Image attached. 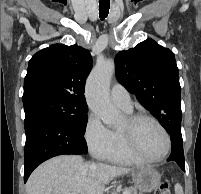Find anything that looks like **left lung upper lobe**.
I'll return each instance as SVG.
<instances>
[{
  "instance_id": "obj_1",
  "label": "left lung upper lobe",
  "mask_w": 201,
  "mask_h": 194,
  "mask_svg": "<svg viewBox=\"0 0 201 194\" xmlns=\"http://www.w3.org/2000/svg\"><path fill=\"white\" fill-rule=\"evenodd\" d=\"M118 81L168 131L181 128V87L173 52L152 39L115 57Z\"/></svg>"
}]
</instances>
